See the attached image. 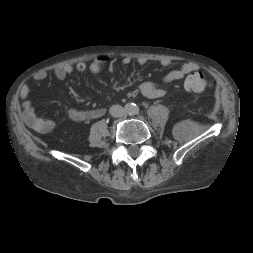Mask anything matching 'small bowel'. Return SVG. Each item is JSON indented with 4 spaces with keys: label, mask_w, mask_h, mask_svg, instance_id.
<instances>
[{
    "label": "small bowel",
    "mask_w": 253,
    "mask_h": 253,
    "mask_svg": "<svg viewBox=\"0 0 253 253\" xmlns=\"http://www.w3.org/2000/svg\"><path fill=\"white\" fill-rule=\"evenodd\" d=\"M110 58L106 56H101L93 59L90 63L80 61L75 65L64 64L55 68V76L63 80L73 71L85 72L90 70L92 72H98L102 69L105 64H110ZM121 62L124 65H129L132 62V59L128 56L123 57ZM137 62L140 65H145L148 62L146 57H139ZM160 64L164 67H167L171 64L170 59L164 58L160 60ZM198 65L194 62L184 63L180 68L173 69L167 72L161 80V85H157L151 81H144L140 84L139 89L141 94L148 99L161 98L166 95L167 90L163 85L170 84L174 81L183 79L186 75L198 70ZM47 77L45 71H41L35 75L36 80H44ZM30 88L29 86H24L21 90V106H22V118L27 126L33 130L40 133L50 132L55 123L52 119L48 117H40L36 114L34 107L32 106L29 100ZM105 114V109L103 108H94L90 110H80V109H70L68 111V117L74 122H88L91 120L99 119Z\"/></svg>",
    "instance_id": "1"
}]
</instances>
